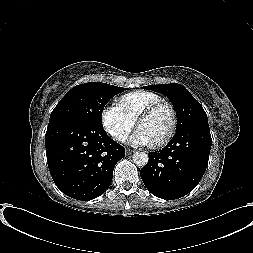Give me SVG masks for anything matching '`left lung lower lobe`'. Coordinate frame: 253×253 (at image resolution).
I'll list each match as a JSON object with an SVG mask.
<instances>
[{
	"label": "left lung lower lobe",
	"mask_w": 253,
	"mask_h": 253,
	"mask_svg": "<svg viewBox=\"0 0 253 253\" xmlns=\"http://www.w3.org/2000/svg\"><path fill=\"white\" fill-rule=\"evenodd\" d=\"M211 135L208 124L193 123L176 131L160 151L150 152L141 169L146 188L162 199H178L200 182L209 159Z\"/></svg>",
	"instance_id": "1"
}]
</instances>
